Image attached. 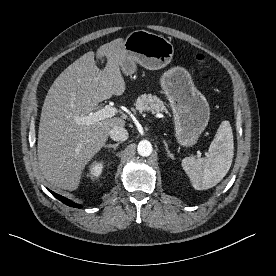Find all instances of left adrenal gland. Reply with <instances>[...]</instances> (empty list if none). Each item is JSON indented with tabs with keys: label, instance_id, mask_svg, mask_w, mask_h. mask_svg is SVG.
<instances>
[{
	"label": "left adrenal gland",
	"instance_id": "left-adrenal-gland-1",
	"mask_svg": "<svg viewBox=\"0 0 276 276\" xmlns=\"http://www.w3.org/2000/svg\"><path fill=\"white\" fill-rule=\"evenodd\" d=\"M163 143H164V147H165V150H166V152H167V155L173 160V159H174V156H173V154H171V152L169 151V149H168V144L166 143L165 140L163 141Z\"/></svg>",
	"mask_w": 276,
	"mask_h": 276
}]
</instances>
